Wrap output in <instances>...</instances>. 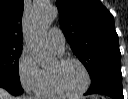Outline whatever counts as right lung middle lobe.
<instances>
[{
	"mask_svg": "<svg viewBox=\"0 0 128 99\" xmlns=\"http://www.w3.org/2000/svg\"><path fill=\"white\" fill-rule=\"evenodd\" d=\"M21 47L0 46V79L20 84L19 62Z\"/></svg>",
	"mask_w": 128,
	"mask_h": 99,
	"instance_id": "obj_1",
	"label": "right lung middle lobe"
}]
</instances>
